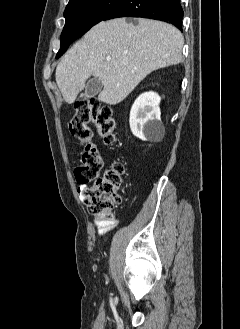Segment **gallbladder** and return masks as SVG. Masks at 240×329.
<instances>
[{"label": "gallbladder", "instance_id": "obj_1", "mask_svg": "<svg viewBox=\"0 0 240 329\" xmlns=\"http://www.w3.org/2000/svg\"><path fill=\"white\" fill-rule=\"evenodd\" d=\"M103 87L102 82L98 78H91L85 85L84 93L80 95L81 98H91L101 92Z\"/></svg>", "mask_w": 240, "mask_h": 329}]
</instances>
